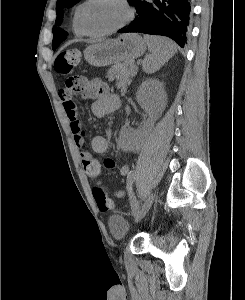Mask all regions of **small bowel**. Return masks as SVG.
Returning a JSON list of instances; mask_svg holds the SVG:
<instances>
[{
  "instance_id": "obj_1",
  "label": "small bowel",
  "mask_w": 245,
  "mask_h": 300,
  "mask_svg": "<svg viewBox=\"0 0 245 300\" xmlns=\"http://www.w3.org/2000/svg\"><path fill=\"white\" fill-rule=\"evenodd\" d=\"M79 80L82 85L81 91L83 93V97L85 99L92 100L91 112L95 117L102 118L118 107V98L111 92L108 84H106L102 79L95 77L91 79L81 78ZM63 90L60 92V97L67 119L70 123V129L75 145L80 152L84 170L89 176L96 177L101 172L102 164L92 154V152L96 154L106 153L109 147V142L103 136H94L90 143L92 152L87 148L85 132L78 117L76 103L73 100L72 95H66V93H63ZM103 166L108 169H113L117 165L114 159L106 158L103 162ZM117 168L118 173L121 176H127L130 173V168L126 163L119 165ZM94 189L102 190L103 184L95 183Z\"/></svg>"
}]
</instances>
